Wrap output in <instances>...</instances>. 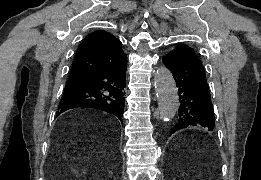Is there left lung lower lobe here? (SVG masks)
<instances>
[{
    "label": "left lung lower lobe",
    "mask_w": 261,
    "mask_h": 180,
    "mask_svg": "<svg viewBox=\"0 0 261 180\" xmlns=\"http://www.w3.org/2000/svg\"><path fill=\"white\" fill-rule=\"evenodd\" d=\"M178 87L179 119L171 134L188 126L215 127L214 109L203 65L192 48L178 45L163 57Z\"/></svg>",
    "instance_id": "obj_1"
}]
</instances>
